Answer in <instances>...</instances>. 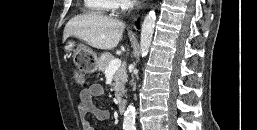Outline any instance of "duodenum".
<instances>
[{"label":"duodenum","instance_id":"obj_1","mask_svg":"<svg viewBox=\"0 0 257 130\" xmlns=\"http://www.w3.org/2000/svg\"><path fill=\"white\" fill-rule=\"evenodd\" d=\"M126 105H127V103H126L125 99H122V98L118 99V101H117V108H118V111L121 114H123L125 112Z\"/></svg>","mask_w":257,"mask_h":130}]
</instances>
